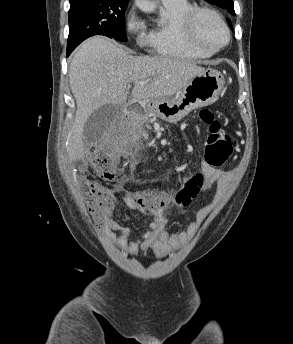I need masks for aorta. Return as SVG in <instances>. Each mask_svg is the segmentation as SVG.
Here are the masks:
<instances>
[{"instance_id": "obj_1", "label": "aorta", "mask_w": 293, "mask_h": 344, "mask_svg": "<svg viewBox=\"0 0 293 344\" xmlns=\"http://www.w3.org/2000/svg\"><path fill=\"white\" fill-rule=\"evenodd\" d=\"M135 4L141 11L145 13L154 12L156 8L155 3L150 0H135Z\"/></svg>"}]
</instances>
